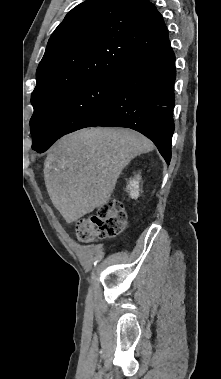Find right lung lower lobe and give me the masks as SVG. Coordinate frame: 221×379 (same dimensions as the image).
Masks as SVG:
<instances>
[{
    "mask_svg": "<svg viewBox=\"0 0 221 379\" xmlns=\"http://www.w3.org/2000/svg\"><path fill=\"white\" fill-rule=\"evenodd\" d=\"M175 77V55L170 46L126 68L119 75L109 106L90 126L128 127L139 131L154 142L169 164L174 132ZM47 148L34 150L41 153Z\"/></svg>",
    "mask_w": 221,
    "mask_h": 379,
    "instance_id": "right-lung-lower-lobe-1",
    "label": "right lung lower lobe"
}]
</instances>
